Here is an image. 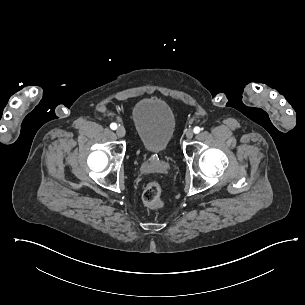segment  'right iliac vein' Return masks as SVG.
<instances>
[{
	"mask_svg": "<svg viewBox=\"0 0 305 305\" xmlns=\"http://www.w3.org/2000/svg\"><path fill=\"white\" fill-rule=\"evenodd\" d=\"M116 133L119 137H124L126 135V130L124 127L120 126L118 127V129L116 130Z\"/></svg>",
	"mask_w": 305,
	"mask_h": 305,
	"instance_id": "63e3f726",
	"label": "right iliac vein"
}]
</instances>
